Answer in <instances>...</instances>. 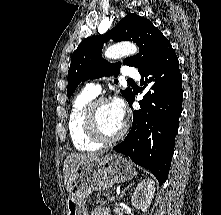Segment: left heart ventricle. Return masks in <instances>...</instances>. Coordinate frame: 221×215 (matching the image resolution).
Wrapping results in <instances>:
<instances>
[{"label":"left heart ventricle","instance_id":"left-heart-ventricle-1","mask_svg":"<svg viewBox=\"0 0 221 215\" xmlns=\"http://www.w3.org/2000/svg\"><path fill=\"white\" fill-rule=\"evenodd\" d=\"M97 121L100 130L107 136L116 134L123 124V122L115 117L110 107V103L99 106L97 110Z\"/></svg>","mask_w":221,"mask_h":215}]
</instances>
